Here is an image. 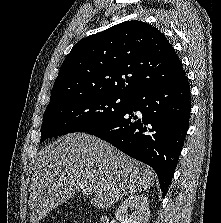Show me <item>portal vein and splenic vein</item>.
<instances>
[{"label":"portal vein and splenic vein","instance_id":"obj_1","mask_svg":"<svg viewBox=\"0 0 221 223\" xmlns=\"http://www.w3.org/2000/svg\"><path fill=\"white\" fill-rule=\"evenodd\" d=\"M81 190L84 192H91V188H89L87 185H85L84 183L79 185Z\"/></svg>","mask_w":221,"mask_h":223}]
</instances>
